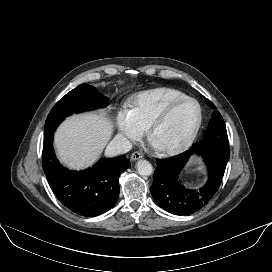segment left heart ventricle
Here are the masks:
<instances>
[{"label": "left heart ventricle", "mask_w": 272, "mask_h": 272, "mask_svg": "<svg viewBox=\"0 0 272 272\" xmlns=\"http://www.w3.org/2000/svg\"><path fill=\"white\" fill-rule=\"evenodd\" d=\"M198 116L197 106L185 102L174 109L153 137L156 147H170L184 141L193 129Z\"/></svg>", "instance_id": "b2bd125f"}]
</instances>
